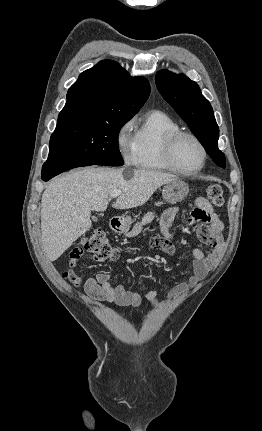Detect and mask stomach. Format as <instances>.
<instances>
[{"mask_svg": "<svg viewBox=\"0 0 262 431\" xmlns=\"http://www.w3.org/2000/svg\"><path fill=\"white\" fill-rule=\"evenodd\" d=\"M189 192V186L186 182L175 179L167 184H165L162 190L163 199L169 203L180 202L185 199ZM131 225L130 219L122 220L119 230L122 233H127Z\"/></svg>", "mask_w": 262, "mask_h": 431, "instance_id": "1", "label": "stomach"}]
</instances>
